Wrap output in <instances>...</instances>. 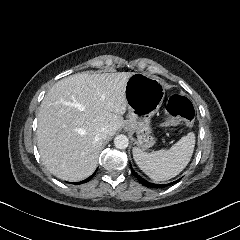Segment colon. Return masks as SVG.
<instances>
[{
    "mask_svg": "<svg viewBox=\"0 0 240 240\" xmlns=\"http://www.w3.org/2000/svg\"><path fill=\"white\" fill-rule=\"evenodd\" d=\"M165 111L168 117L162 118L163 128L167 126H177L178 118L192 122L195 116V109L190 98L183 95H174L170 97L166 104Z\"/></svg>",
    "mask_w": 240,
    "mask_h": 240,
    "instance_id": "5ec220e1",
    "label": "colon"
}]
</instances>
